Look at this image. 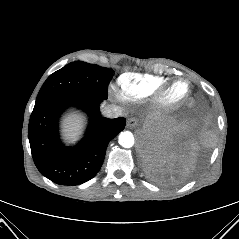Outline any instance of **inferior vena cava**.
Masks as SVG:
<instances>
[{"instance_id": "1", "label": "inferior vena cava", "mask_w": 239, "mask_h": 239, "mask_svg": "<svg viewBox=\"0 0 239 239\" xmlns=\"http://www.w3.org/2000/svg\"><path fill=\"white\" fill-rule=\"evenodd\" d=\"M103 115L107 118H117L122 115V108L118 105L111 104L103 108Z\"/></svg>"}]
</instances>
